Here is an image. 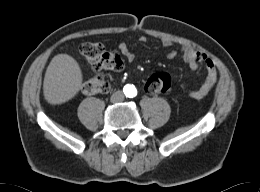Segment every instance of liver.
Segmentation results:
<instances>
[{"label": "liver", "mask_w": 260, "mask_h": 192, "mask_svg": "<svg viewBox=\"0 0 260 192\" xmlns=\"http://www.w3.org/2000/svg\"><path fill=\"white\" fill-rule=\"evenodd\" d=\"M83 75L77 61L68 54L54 56L44 77L43 91L50 104H61L73 98L82 88Z\"/></svg>", "instance_id": "1"}]
</instances>
